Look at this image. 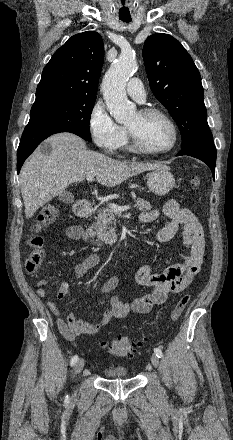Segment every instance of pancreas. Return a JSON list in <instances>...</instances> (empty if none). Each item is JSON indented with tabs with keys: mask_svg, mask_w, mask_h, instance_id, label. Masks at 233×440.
Instances as JSON below:
<instances>
[{
	"mask_svg": "<svg viewBox=\"0 0 233 440\" xmlns=\"http://www.w3.org/2000/svg\"><path fill=\"white\" fill-rule=\"evenodd\" d=\"M139 211H150L152 205L144 199L138 198L134 205ZM115 212L110 208H100L98 210L97 222L92 226L97 238L105 243L116 241L115 233Z\"/></svg>",
	"mask_w": 233,
	"mask_h": 440,
	"instance_id": "1",
	"label": "pancreas"
}]
</instances>
